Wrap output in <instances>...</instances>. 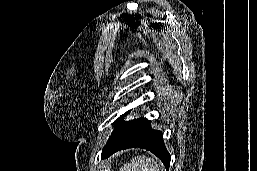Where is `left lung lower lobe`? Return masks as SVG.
<instances>
[{
  "label": "left lung lower lobe",
  "instance_id": "0a47b994",
  "mask_svg": "<svg viewBox=\"0 0 257 171\" xmlns=\"http://www.w3.org/2000/svg\"><path fill=\"white\" fill-rule=\"evenodd\" d=\"M143 148L155 154L169 169L171 156L166 150L163 134L151 128L150 121L138 118L121 132L116 138L108 141L102 150V158H107L113 153L128 148Z\"/></svg>",
  "mask_w": 257,
  "mask_h": 171
}]
</instances>
